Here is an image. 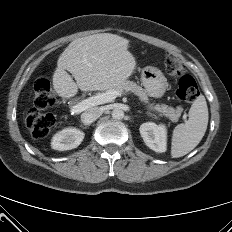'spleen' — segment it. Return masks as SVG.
Wrapping results in <instances>:
<instances>
[{"label":"spleen","instance_id":"spleen-1","mask_svg":"<svg viewBox=\"0 0 232 232\" xmlns=\"http://www.w3.org/2000/svg\"><path fill=\"white\" fill-rule=\"evenodd\" d=\"M206 99L200 95L189 110L186 123L178 124L172 134L171 156L179 158L192 151L202 140L208 125Z\"/></svg>","mask_w":232,"mask_h":232}]
</instances>
